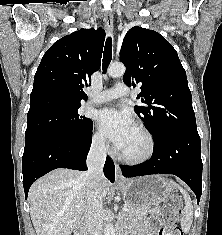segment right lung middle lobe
Wrapping results in <instances>:
<instances>
[{
    "label": "right lung middle lobe",
    "mask_w": 222,
    "mask_h": 235,
    "mask_svg": "<svg viewBox=\"0 0 222 235\" xmlns=\"http://www.w3.org/2000/svg\"><path fill=\"white\" fill-rule=\"evenodd\" d=\"M81 105H67L27 116L25 148L50 139L78 140L93 126L91 119L78 113Z\"/></svg>",
    "instance_id": "1"
}]
</instances>
